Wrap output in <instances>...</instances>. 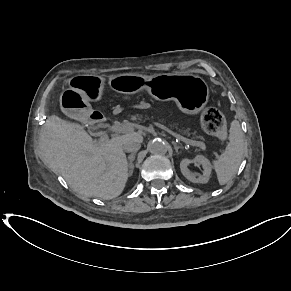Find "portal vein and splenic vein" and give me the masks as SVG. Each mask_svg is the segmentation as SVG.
Masks as SVG:
<instances>
[{
    "instance_id": "18ae733b",
    "label": "portal vein and splenic vein",
    "mask_w": 291,
    "mask_h": 291,
    "mask_svg": "<svg viewBox=\"0 0 291 291\" xmlns=\"http://www.w3.org/2000/svg\"><path fill=\"white\" fill-rule=\"evenodd\" d=\"M154 125L165 130L166 132H168L169 134L173 135L174 137L183 140L185 143L193 145V146H198L202 149H205V144L203 142H199V141H194V140H190L187 138L182 137L181 135L177 134L176 132H173L172 130H170L169 128H167L166 126L158 123V122H154ZM134 131V126L131 124H122V123H116L113 126L110 127V129L108 131H104L103 135L101 137V140H106L108 138V134L110 132H115V133H128V132H133Z\"/></svg>"
}]
</instances>
